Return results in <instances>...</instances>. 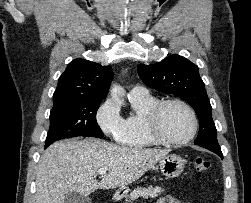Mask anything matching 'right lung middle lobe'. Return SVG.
I'll list each match as a JSON object with an SVG mask.
<instances>
[{"label":"right lung middle lobe","mask_w":251,"mask_h":203,"mask_svg":"<svg viewBox=\"0 0 251 203\" xmlns=\"http://www.w3.org/2000/svg\"><path fill=\"white\" fill-rule=\"evenodd\" d=\"M101 102L102 100H78L53 107L45 148L62 138H102L104 134L96 121Z\"/></svg>","instance_id":"right-lung-middle-lobe-1"}]
</instances>
